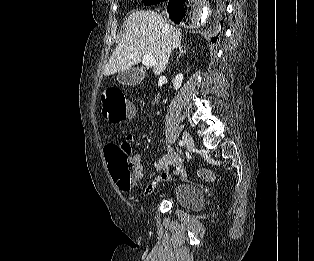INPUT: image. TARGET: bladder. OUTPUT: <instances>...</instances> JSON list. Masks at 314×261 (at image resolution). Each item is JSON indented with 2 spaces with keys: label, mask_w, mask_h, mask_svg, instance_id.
Masks as SVG:
<instances>
[{
  "label": "bladder",
  "mask_w": 314,
  "mask_h": 261,
  "mask_svg": "<svg viewBox=\"0 0 314 261\" xmlns=\"http://www.w3.org/2000/svg\"><path fill=\"white\" fill-rule=\"evenodd\" d=\"M172 197L176 204L189 211L201 210L205 204L202 190L193 184L177 186L173 190Z\"/></svg>",
  "instance_id": "1"
}]
</instances>
